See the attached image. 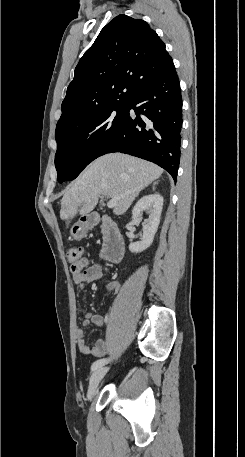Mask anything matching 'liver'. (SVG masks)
Listing matches in <instances>:
<instances>
[{
	"label": "liver",
	"instance_id": "liver-1",
	"mask_svg": "<svg viewBox=\"0 0 245 457\" xmlns=\"http://www.w3.org/2000/svg\"><path fill=\"white\" fill-rule=\"evenodd\" d=\"M163 168L121 152L99 156L67 186L61 200L60 218L86 214L95 208L100 194L117 198L114 214H124L140 190L159 178ZM82 204L81 208H78Z\"/></svg>",
	"mask_w": 245,
	"mask_h": 457
}]
</instances>
